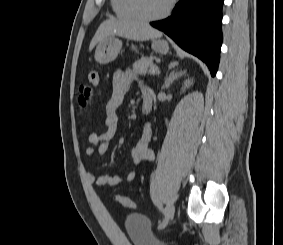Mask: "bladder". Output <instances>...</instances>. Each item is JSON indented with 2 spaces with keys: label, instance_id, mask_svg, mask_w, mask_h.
<instances>
[{
  "label": "bladder",
  "instance_id": "31cf9c89",
  "mask_svg": "<svg viewBox=\"0 0 283 245\" xmlns=\"http://www.w3.org/2000/svg\"><path fill=\"white\" fill-rule=\"evenodd\" d=\"M126 234L132 245H167L155 234L151 221L140 213H131L124 220Z\"/></svg>",
  "mask_w": 283,
  "mask_h": 245
}]
</instances>
